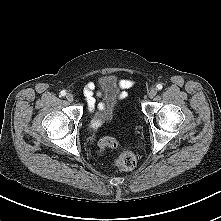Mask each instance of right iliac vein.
<instances>
[{"mask_svg": "<svg viewBox=\"0 0 221 221\" xmlns=\"http://www.w3.org/2000/svg\"><path fill=\"white\" fill-rule=\"evenodd\" d=\"M66 99L69 101V102H72L74 100V96L71 94V93H68L66 95Z\"/></svg>", "mask_w": 221, "mask_h": 221, "instance_id": "obj_1", "label": "right iliac vein"}]
</instances>
